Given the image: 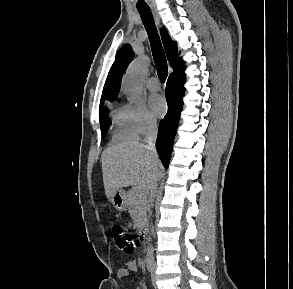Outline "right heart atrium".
I'll return each mask as SVG.
<instances>
[{"mask_svg":"<svg viewBox=\"0 0 293 289\" xmlns=\"http://www.w3.org/2000/svg\"><path fill=\"white\" fill-rule=\"evenodd\" d=\"M132 120L138 135L145 136L155 131L157 123L143 103H136L129 107Z\"/></svg>","mask_w":293,"mask_h":289,"instance_id":"1","label":"right heart atrium"}]
</instances>
